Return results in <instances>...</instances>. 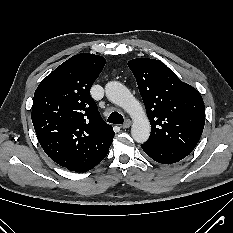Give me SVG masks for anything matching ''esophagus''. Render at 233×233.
I'll return each mask as SVG.
<instances>
[{
    "label": "esophagus",
    "instance_id": "obj_1",
    "mask_svg": "<svg viewBox=\"0 0 233 233\" xmlns=\"http://www.w3.org/2000/svg\"><path fill=\"white\" fill-rule=\"evenodd\" d=\"M131 126V121L128 119L124 122V124L122 125L123 129H127Z\"/></svg>",
    "mask_w": 233,
    "mask_h": 233
}]
</instances>
